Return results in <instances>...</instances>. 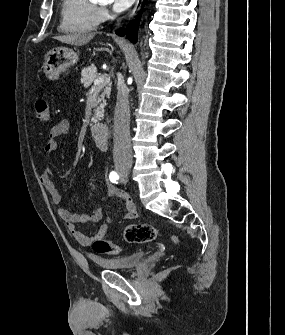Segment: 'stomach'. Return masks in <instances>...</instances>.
<instances>
[{
    "instance_id": "1",
    "label": "stomach",
    "mask_w": 285,
    "mask_h": 335,
    "mask_svg": "<svg viewBox=\"0 0 285 335\" xmlns=\"http://www.w3.org/2000/svg\"><path fill=\"white\" fill-rule=\"evenodd\" d=\"M78 54L70 48H53L45 56L44 74L48 80H58L66 68L77 64Z\"/></svg>"
}]
</instances>
